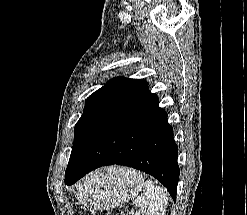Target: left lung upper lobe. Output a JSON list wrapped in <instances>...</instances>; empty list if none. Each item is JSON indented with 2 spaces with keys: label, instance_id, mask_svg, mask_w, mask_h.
<instances>
[{
  "label": "left lung upper lobe",
  "instance_id": "1",
  "mask_svg": "<svg viewBox=\"0 0 247 215\" xmlns=\"http://www.w3.org/2000/svg\"><path fill=\"white\" fill-rule=\"evenodd\" d=\"M148 83L142 79L118 77L92 93L75 125L70 159L84 140H96L131 106Z\"/></svg>",
  "mask_w": 247,
  "mask_h": 215
}]
</instances>
